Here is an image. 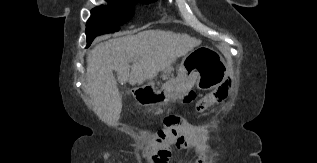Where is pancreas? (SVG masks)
Listing matches in <instances>:
<instances>
[{"mask_svg": "<svg viewBox=\"0 0 317 163\" xmlns=\"http://www.w3.org/2000/svg\"><path fill=\"white\" fill-rule=\"evenodd\" d=\"M170 71H171V68H167L163 71V74H162V78L165 80V79H168L169 77V74H170Z\"/></svg>", "mask_w": 317, "mask_h": 163, "instance_id": "pancreas-1", "label": "pancreas"}]
</instances>
